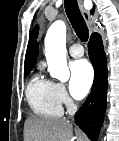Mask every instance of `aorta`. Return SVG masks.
<instances>
[{
  "instance_id": "aorta-1",
  "label": "aorta",
  "mask_w": 119,
  "mask_h": 141,
  "mask_svg": "<svg viewBox=\"0 0 119 141\" xmlns=\"http://www.w3.org/2000/svg\"><path fill=\"white\" fill-rule=\"evenodd\" d=\"M45 56L51 77L67 81L70 73L66 61V25L55 21L45 37Z\"/></svg>"
}]
</instances>
